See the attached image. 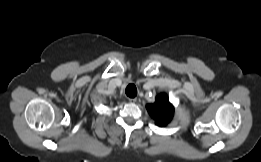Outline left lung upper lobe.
Masks as SVG:
<instances>
[{
  "instance_id": "left-lung-upper-lobe-1",
  "label": "left lung upper lobe",
  "mask_w": 261,
  "mask_h": 162,
  "mask_svg": "<svg viewBox=\"0 0 261 162\" xmlns=\"http://www.w3.org/2000/svg\"><path fill=\"white\" fill-rule=\"evenodd\" d=\"M147 110L158 126H166L174 115V107L164 93L158 95L153 104L147 105Z\"/></svg>"
}]
</instances>
